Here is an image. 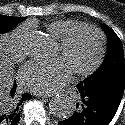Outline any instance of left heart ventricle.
<instances>
[{"mask_svg":"<svg viewBox=\"0 0 125 125\" xmlns=\"http://www.w3.org/2000/svg\"><path fill=\"white\" fill-rule=\"evenodd\" d=\"M98 42L95 33L85 30L77 35L66 51H62L58 46L56 56L62 57L72 71L85 68L96 57Z\"/></svg>","mask_w":125,"mask_h":125,"instance_id":"1","label":"left heart ventricle"}]
</instances>
